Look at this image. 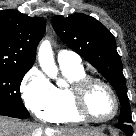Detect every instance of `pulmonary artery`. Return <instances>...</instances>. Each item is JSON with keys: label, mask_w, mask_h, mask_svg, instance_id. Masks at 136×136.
I'll return each instance as SVG.
<instances>
[{"label": "pulmonary artery", "mask_w": 136, "mask_h": 136, "mask_svg": "<svg viewBox=\"0 0 136 136\" xmlns=\"http://www.w3.org/2000/svg\"><path fill=\"white\" fill-rule=\"evenodd\" d=\"M57 59L60 65H67L73 67L81 66L79 55L69 50H61L58 53Z\"/></svg>", "instance_id": "pulmonary-artery-1"}]
</instances>
